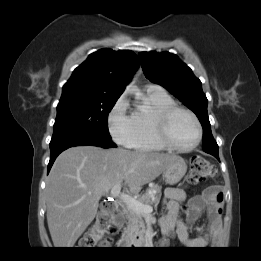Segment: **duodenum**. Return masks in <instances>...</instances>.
I'll use <instances>...</instances> for the list:
<instances>
[{
	"instance_id": "duodenum-1",
	"label": "duodenum",
	"mask_w": 261,
	"mask_h": 261,
	"mask_svg": "<svg viewBox=\"0 0 261 261\" xmlns=\"http://www.w3.org/2000/svg\"><path fill=\"white\" fill-rule=\"evenodd\" d=\"M117 216L112 218V220L109 222L106 232L108 234H115L118 229L123 225V218H124V210L121 207H118L117 209ZM145 243V236L143 234H137L134 236L129 243L130 246H136L141 245Z\"/></svg>"
}]
</instances>
